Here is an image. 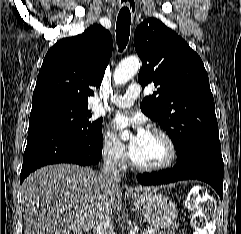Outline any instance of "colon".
Wrapping results in <instances>:
<instances>
[{"label":"colon","instance_id":"5ec220e1","mask_svg":"<svg viewBox=\"0 0 241 234\" xmlns=\"http://www.w3.org/2000/svg\"><path fill=\"white\" fill-rule=\"evenodd\" d=\"M187 206L194 211L192 226L194 234H208L209 218L214 210V205L207 191L199 188L188 196Z\"/></svg>","mask_w":241,"mask_h":234}]
</instances>
